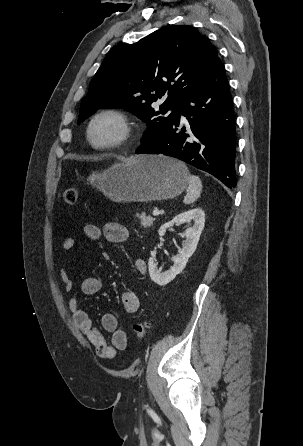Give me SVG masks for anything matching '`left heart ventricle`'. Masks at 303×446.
<instances>
[{
  "label": "left heart ventricle",
  "instance_id": "left-heart-ventricle-1",
  "mask_svg": "<svg viewBox=\"0 0 303 446\" xmlns=\"http://www.w3.org/2000/svg\"><path fill=\"white\" fill-rule=\"evenodd\" d=\"M118 132L119 128L112 119L101 118L92 127L91 137L96 144H105L112 141Z\"/></svg>",
  "mask_w": 303,
  "mask_h": 446
}]
</instances>
